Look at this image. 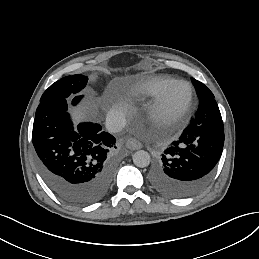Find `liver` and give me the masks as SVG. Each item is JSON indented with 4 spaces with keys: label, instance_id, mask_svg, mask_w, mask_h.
Masks as SVG:
<instances>
[{
    "label": "liver",
    "instance_id": "obj_1",
    "mask_svg": "<svg viewBox=\"0 0 259 259\" xmlns=\"http://www.w3.org/2000/svg\"><path fill=\"white\" fill-rule=\"evenodd\" d=\"M75 112L80 113V109L75 110ZM73 117L76 118V116L72 113Z\"/></svg>",
    "mask_w": 259,
    "mask_h": 259
}]
</instances>
